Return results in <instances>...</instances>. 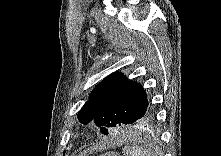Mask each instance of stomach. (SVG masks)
Segmentation results:
<instances>
[{"label": "stomach", "mask_w": 221, "mask_h": 156, "mask_svg": "<svg viewBox=\"0 0 221 156\" xmlns=\"http://www.w3.org/2000/svg\"><path fill=\"white\" fill-rule=\"evenodd\" d=\"M100 156H119L118 154L114 153V152H107V153H104Z\"/></svg>", "instance_id": "1"}]
</instances>
